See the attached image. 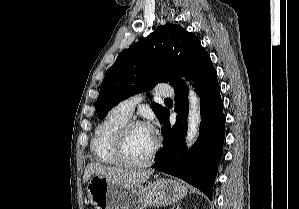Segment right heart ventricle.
I'll return each instance as SVG.
<instances>
[{"instance_id":"right-heart-ventricle-1","label":"right heart ventricle","mask_w":299,"mask_h":209,"mask_svg":"<svg viewBox=\"0 0 299 209\" xmlns=\"http://www.w3.org/2000/svg\"><path fill=\"white\" fill-rule=\"evenodd\" d=\"M128 119L114 108L97 125L91 142V149L98 162L110 165L118 164L114 156V139L119 128Z\"/></svg>"}]
</instances>
